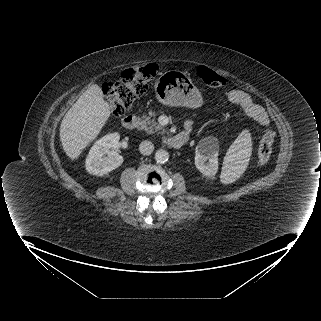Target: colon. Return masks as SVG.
<instances>
[{"instance_id": "colon-1", "label": "colon", "mask_w": 321, "mask_h": 321, "mask_svg": "<svg viewBox=\"0 0 321 321\" xmlns=\"http://www.w3.org/2000/svg\"><path fill=\"white\" fill-rule=\"evenodd\" d=\"M158 71L159 67L155 63L134 66L123 71L118 81L104 84L103 94L109 103L111 114L121 117L130 110L135 100L147 91ZM197 74L210 87L222 88L226 85V80L207 66H199ZM273 142L274 132L266 131L258 148L257 163L259 165H264L270 160Z\"/></svg>"}]
</instances>
